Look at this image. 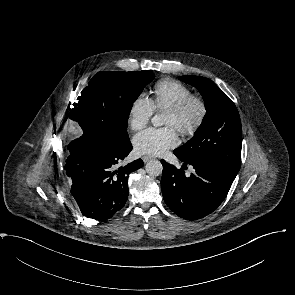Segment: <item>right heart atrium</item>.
<instances>
[{
  "label": "right heart atrium",
  "instance_id": "obj_1",
  "mask_svg": "<svg viewBox=\"0 0 295 295\" xmlns=\"http://www.w3.org/2000/svg\"><path fill=\"white\" fill-rule=\"evenodd\" d=\"M154 113L151 100L143 93L138 94L130 103L127 121L129 127L138 131L144 128Z\"/></svg>",
  "mask_w": 295,
  "mask_h": 295
}]
</instances>
